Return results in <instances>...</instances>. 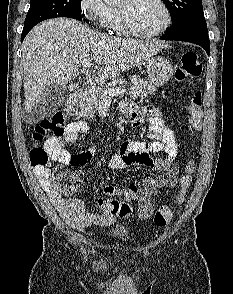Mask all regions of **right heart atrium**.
I'll return each mask as SVG.
<instances>
[{
    "instance_id": "right-heart-atrium-1",
    "label": "right heart atrium",
    "mask_w": 233,
    "mask_h": 294,
    "mask_svg": "<svg viewBox=\"0 0 233 294\" xmlns=\"http://www.w3.org/2000/svg\"><path fill=\"white\" fill-rule=\"evenodd\" d=\"M80 12L92 25L98 28H108L111 8L104 0H80Z\"/></svg>"
}]
</instances>
